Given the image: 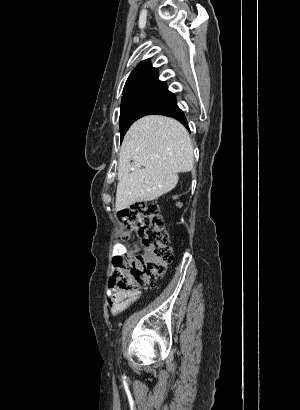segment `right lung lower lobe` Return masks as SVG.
<instances>
[{"mask_svg":"<svg viewBox=\"0 0 300 410\" xmlns=\"http://www.w3.org/2000/svg\"><path fill=\"white\" fill-rule=\"evenodd\" d=\"M155 114H160V115H166V116H170L173 117L175 119H177L178 121H180L184 126L188 127L186 118L184 116V113L182 112L181 109H179L176 105V102L173 103L172 105L160 110L159 112L155 113Z\"/></svg>","mask_w":300,"mask_h":410,"instance_id":"1","label":"right lung lower lobe"}]
</instances>
